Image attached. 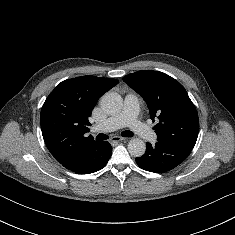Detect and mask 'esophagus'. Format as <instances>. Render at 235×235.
<instances>
[{
	"instance_id": "obj_1",
	"label": "esophagus",
	"mask_w": 235,
	"mask_h": 235,
	"mask_svg": "<svg viewBox=\"0 0 235 235\" xmlns=\"http://www.w3.org/2000/svg\"><path fill=\"white\" fill-rule=\"evenodd\" d=\"M126 138H123L121 136H113L110 138V143H118L120 141H124Z\"/></svg>"
}]
</instances>
